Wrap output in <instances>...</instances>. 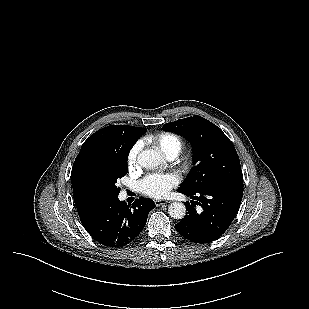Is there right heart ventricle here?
Wrapping results in <instances>:
<instances>
[{
  "instance_id": "obj_1",
  "label": "right heart ventricle",
  "mask_w": 309,
  "mask_h": 309,
  "mask_svg": "<svg viewBox=\"0 0 309 309\" xmlns=\"http://www.w3.org/2000/svg\"><path fill=\"white\" fill-rule=\"evenodd\" d=\"M155 146H157L167 157L169 155H177L183 146L182 138L172 132H161L148 138Z\"/></svg>"
}]
</instances>
